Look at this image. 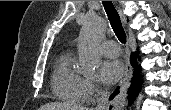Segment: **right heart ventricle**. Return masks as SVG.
<instances>
[{"label": "right heart ventricle", "instance_id": "right-heart-ventricle-1", "mask_svg": "<svg viewBox=\"0 0 171 110\" xmlns=\"http://www.w3.org/2000/svg\"><path fill=\"white\" fill-rule=\"evenodd\" d=\"M52 89L56 97L67 102H83L88 99L85 79L73 67V56L68 51L56 60Z\"/></svg>", "mask_w": 171, "mask_h": 110}]
</instances>
